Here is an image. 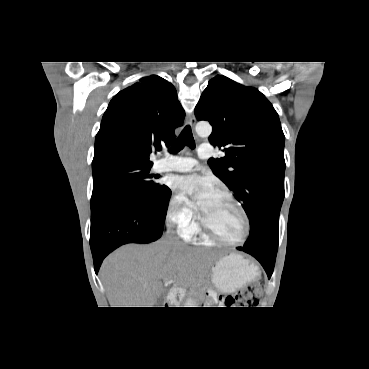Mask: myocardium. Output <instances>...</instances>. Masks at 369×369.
<instances>
[{
	"label": "myocardium",
	"mask_w": 369,
	"mask_h": 369,
	"mask_svg": "<svg viewBox=\"0 0 369 369\" xmlns=\"http://www.w3.org/2000/svg\"><path fill=\"white\" fill-rule=\"evenodd\" d=\"M216 194L228 198L236 206V208L239 210V212L241 213L242 218H243V224H244L243 235L239 239H236V240H228V239L222 238L221 236H219L213 230L210 229V227L204 221V218H203L202 214H199V217H198L199 230L204 235V237H206L207 239L218 242V243H221V244H224V245L237 246V245H240V244L246 242V240L248 239V237L250 235V220H249V216H248L245 208L235 198V196L232 193H230L226 190H217Z\"/></svg>",
	"instance_id": "myocardium-1"
}]
</instances>
